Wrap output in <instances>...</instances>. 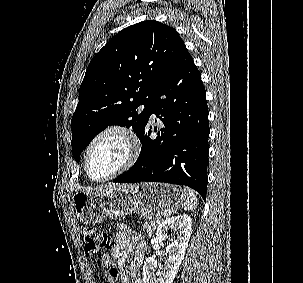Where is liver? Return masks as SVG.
<instances>
[{
  "instance_id": "6515ba94",
  "label": "liver",
  "mask_w": 303,
  "mask_h": 283,
  "mask_svg": "<svg viewBox=\"0 0 303 283\" xmlns=\"http://www.w3.org/2000/svg\"><path fill=\"white\" fill-rule=\"evenodd\" d=\"M115 186H119L118 184H109V185H105V186H101L100 188L98 189H94L92 191H89V192H101L107 188H111V187H115Z\"/></svg>"
}]
</instances>
